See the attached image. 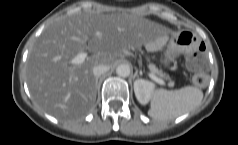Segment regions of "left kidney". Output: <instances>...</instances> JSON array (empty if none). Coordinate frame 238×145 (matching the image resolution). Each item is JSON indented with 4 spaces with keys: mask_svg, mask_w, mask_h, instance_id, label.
I'll list each match as a JSON object with an SVG mask.
<instances>
[{
    "mask_svg": "<svg viewBox=\"0 0 238 145\" xmlns=\"http://www.w3.org/2000/svg\"><path fill=\"white\" fill-rule=\"evenodd\" d=\"M154 89V84L144 79H137L134 82V92L137 100L142 105L149 102L151 93Z\"/></svg>",
    "mask_w": 238,
    "mask_h": 145,
    "instance_id": "1",
    "label": "left kidney"
}]
</instances>
